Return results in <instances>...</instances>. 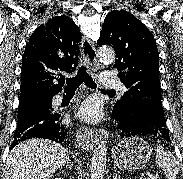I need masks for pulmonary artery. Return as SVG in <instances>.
<instances>
[{"instance_id":"e3ab8cb5","label":"pulmonary artery","mask_w":183,"mask_h":179,"mask_svg":"<svg viewBox=\"0 0 183 179\" xmlns=\"http://www.w3.org/2000/svg\"><path fill=\"white\" fill-rule=\"evenodd\" d=\"M100 82L103 87L106 88H118L122 91H125L124 85L121 83L119 78L112 72H104L100 77ZM61 101V96L57 95L54 99L55 103H59Z\"/></svg>"}]
</instances>
